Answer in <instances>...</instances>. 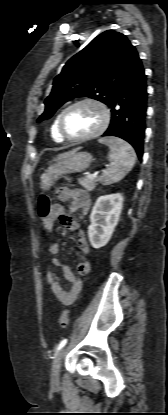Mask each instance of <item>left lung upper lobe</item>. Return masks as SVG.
I'll return each mask as SVG.
<instances>
[{"label": "left lung upper lobe", "mask_w": 168, "mask_h": 415, "mask_svg": "<svg viewBox=\"0 0 168 415\" xmlns=\"http://www.w3.org/2000/svg\"><path fill=\"white\" fill-rule=\"evenodd\" d=\"M138 61V53L125 35L114 30L101 33L68 60L54 79L38 122L76 97H89L109 106Z\"/></svg>", "instance_id": "left-lung-upper-lobe-1"}]
</instances>
